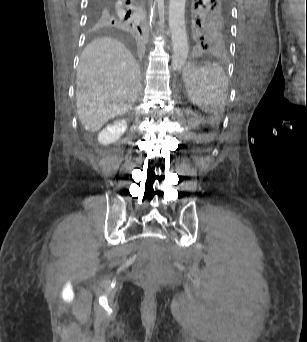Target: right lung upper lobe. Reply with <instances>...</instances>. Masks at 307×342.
Listing matches in <instances>:
<instances>
[{
	"label": "right lung upper lobe",
	"mask_w": 307,
	"mask_h": 342,
	"mask_svg": "<svg viewBox=\"0 0 307 342\" xmlns=\"http://www.w3.org/2000/svg\"><path fill=\"white\" fill-rule=\"evenodd\" d=\"M88 23L98 35L141 41L147 20L141 0H90Z\"/></svg>",
	"instance_id": "cb5924a9"
}]
</instances>
